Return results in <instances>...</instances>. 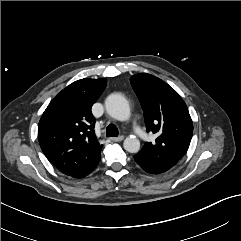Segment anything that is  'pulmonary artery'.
Returning <instances> with one entry per match:
<instances>
[{
    "label": "pulmonary artery",
    "instance_id": "1",
    "mask_svg": "<svg viewBox=\"0 0 241 241\" xmlns=\"http://www.w3.org/2000/svg\"><path fill=\"white\" fill-rule=\"evenodd\" d=\"M132 126H133L135 135L141 140L145 139L146 133L144 132V130L142 129V127L140 126L139 122L136 119L133 120Z\"/></svg>",
    "mask_w": 241,
    "mask_h": 241
}]
</instances>
